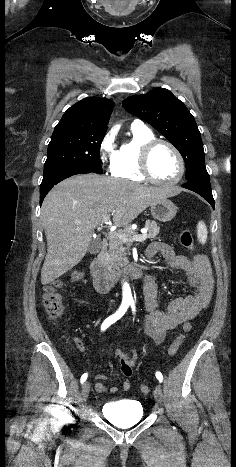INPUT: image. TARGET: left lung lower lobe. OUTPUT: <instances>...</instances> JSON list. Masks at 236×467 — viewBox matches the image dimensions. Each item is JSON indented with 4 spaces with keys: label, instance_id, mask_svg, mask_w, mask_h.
Listing matches in <instances>:
<instances>
[{
    "label": "left lung lower lobe",
    "instance_id": "left-lung-lower-lobe-1",
    "mask_svg": "<svg viewBox=\"0 0 236 467\" xmlns=\"http://www.w3.org/2000/svg\"><path fill=\"white\" fill-rule=\"evenodd\" d=\"M182 187L198 193L204 199H206L213 208L215 207L209 176L199 177L187 181L184 185H182Z\"/></svg>",
    "mask_w": 236,
    "mask_h": 467
}]
</instances>
